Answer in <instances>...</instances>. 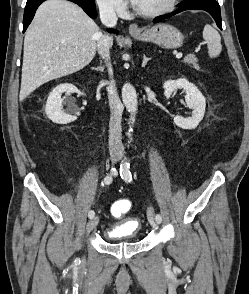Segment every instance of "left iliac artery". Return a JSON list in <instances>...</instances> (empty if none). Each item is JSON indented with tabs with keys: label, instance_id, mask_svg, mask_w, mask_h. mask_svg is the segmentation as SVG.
Masks as SVG:
<instances>
[{
	"label": "left iliac artery",
	"instance_id": "1",
	"mask_svg": "<svg viewBox=\"0 0 249 294\" xmlns=\"http://www.w3.org/2000/svg\"><path fill=\"white\" fill-rule=\"evenodd\" d=\"M130 163L128 161L124 162L120 166V175L122 179H124L126 182H131L132 181V175L130 172ZM155 220L160 223L162 221V217L160 214H157L155 216Z\"/></svg>",
	"mask_w": 249,
	"mask_h": 294
}]
</instances>
